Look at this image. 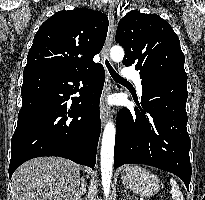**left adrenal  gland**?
Instances as JSON below:
<instances>
[{"label": "left adrenal gland", "mask_w": 205, "mask_h": 200, "mask_svg": "<svg viewBox=\"0 0 205 200\" xmlns=\"http://www.w3.org/2000/svg\"><path fill=\"white\" fill-rule=\"evenodd\" d=\"M124 200H132L131 197L128 195L127 191L124 190Z\"/></svg>", "instance_id": "a2214340"}]
</instances>
